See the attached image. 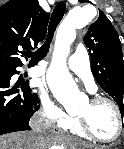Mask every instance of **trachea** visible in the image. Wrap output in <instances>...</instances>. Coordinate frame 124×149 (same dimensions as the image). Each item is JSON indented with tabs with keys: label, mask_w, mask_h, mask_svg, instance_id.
Returning <instances> with one entry per match:
<instances>
[{
	"label": "trachea",
	"mask_w": 124,
	"mask_h": 149,
	"mask_svg": "<svg viewBox=\"0 0 124 149\" xmlns=\"http://www.w3.org/2000/svg\"><path fill=\"white\" fill-rule=\"evenodd\" d=\"M65 11H66V3L63 1L58 2L55 9L53 10L51 14L49 28H48V35H47V43H49L51 39L53 38V34L59 22L62 20L65 14ZM33 60H35V58H33Z\"/></svg>",
	"instance_id": "obj_1"
}]
</instances>
